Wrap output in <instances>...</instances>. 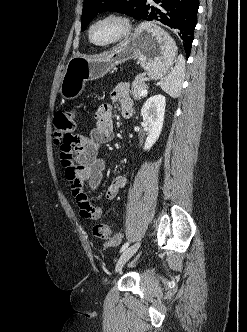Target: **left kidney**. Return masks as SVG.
Here are the masks:
<instances>
[{
    "label": "left kidney",
    "mask_w": 247,
    "mask_h": 332,
    "mask_svg": "<svg viewBox=\"0 0 247 332\" xmlns=\"http://www.w3.org/2000/svg\"><path fill=\"white\" fill-rule=\"evenodd\" d=\"M166 98L154 95L147 99L141 109L143 120L149 124L150 130L144 144V150H149L158 140L164 122Z\"/></svg>",
    "instance_id": "1"
}]
</instances>
